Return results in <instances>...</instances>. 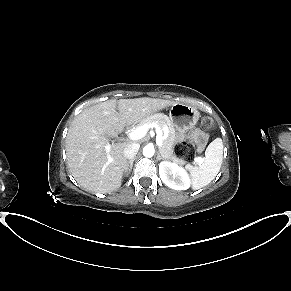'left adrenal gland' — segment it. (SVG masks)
I'll list each match as a JSON object with an SVG mask.
<instances>
[{"instance_id": "left-adrenal-gland-1", "label": "left adrenal gland", "mask_w": 291, "mask_h": 291, "mask_svg": "<svg viewBox=\"0 0 291 291\" xmlns=\"http://www.w3.org/2000/svg\"><path fill=\"white\" fill-rule=\"evenodd\" d=\"M160 153H161V152H158V156H157V159H158V160L164 159V157H163L162 155H160Z\"/></svg>"}]
</instances>
